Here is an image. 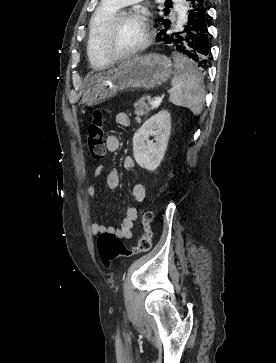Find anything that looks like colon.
Returning <instances> with one entry per match:
<instances>
[{
    "instance_id": "1",
    "label": "colon",
    "mask_w": 276,
    "mask_h": 363,
    "mask_svg": "<svg viewBox=\"0 0 276 363\" xmlns=\"http://www.w3.org/2000/svg\"><path fill=\"white\" fill-rule=\"evenodd\" d=\"M88 148L95 160H103L106 156L104 117L100 110H95L88 123ZM153 214L146 210L141 216L142 235L136 249L130 248L113 234L101 233L97 245L101 260L108 265L118 257H131L136 253H145L152 248L151 222Z\"/></svg>"
}]
</instances>
